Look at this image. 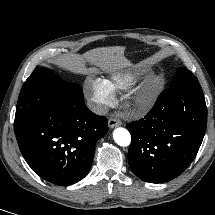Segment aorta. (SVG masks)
Instances as JSON below:
<instances>
[{
    "label": "aorta",
    "instance_id": "762f6f07",
    "mask_svg": "<svg viewBox=\"0 0 215 215\" xmlns=\"http://www.w3.org/2000/svg\"><path fill=\"white\" fill-rule=\"evenodd\" d=\"M114 141L120 146H128L131 142V135L125 128H116L113 132Z\"/></svg>",
    "mask_w": 215,
    "mask_h": 215
}]
</instances>
